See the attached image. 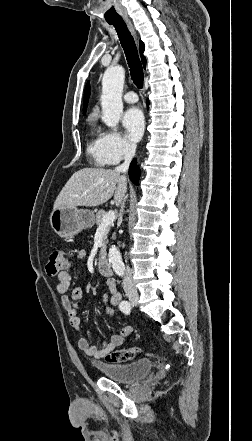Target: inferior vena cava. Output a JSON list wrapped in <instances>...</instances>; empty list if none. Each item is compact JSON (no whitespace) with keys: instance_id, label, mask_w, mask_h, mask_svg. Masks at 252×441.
<instances>
[{"instance_id":"602c4592","label":"inferior vena cava","mask_w":252,"mask_h":441,"mask_svg":"<svg viewBox=\"0 0 252 441\" xmlns=\"http://www.w3.org/2000/svg\"><path fill=\"white\" fill-rule=\"evenodd\" d=\"M134 155H135V148L132 147V146L126 147L125 155H124V162L121 165H119V166H117L115 168L116 172L123 173L122 177H123L124 180H126L125 174L128 171L129 165H130ZM125 200H126V197H124L123 202L121 203V210H120L121 217H122L123 210H124ZM123 288H124L125 291H132L134 293L136 292V288H135V285L133 283L131 272H130V269H129L128 266H127V268L125 270V276H124V279H123Z\"/></svg>"}]
</instances>
